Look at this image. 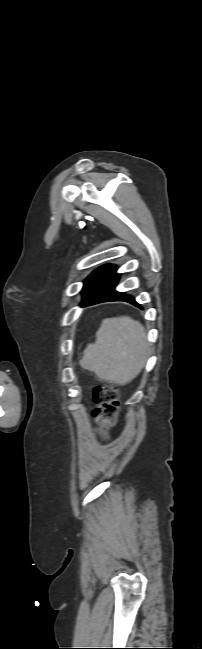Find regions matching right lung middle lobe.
Listing matches in <instances>:
<instances>
[{
  "instance_id": "dd1d6c3e",
  "label": "right lung middle lobe",
  "mask_w": 202,
  "mask_h": 649,
  "mask_svg": "<svg viewBox=\"0 0 202 649\" xmlns=\"http://www.w3.org/2000/svg\"><path fill=\"white\" fill-rule=\"evenodd\" d=\"M107 266L100 267L98 270L94 271L85 281H84V287L82 292L86 290V287L88 284L95 278L97 277Z\"/></svg>"
}]
</instances>
